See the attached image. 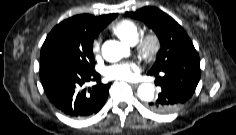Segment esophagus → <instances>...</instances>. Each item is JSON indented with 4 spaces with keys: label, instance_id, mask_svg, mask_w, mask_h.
<instances>
[{
    "label": "esophagus",
    "instance_id": "1",
    "mask_svg": "<svg viewBox=\"0 0 236 135\" xmlns=\"http://www.w3.org/2000/svg\"><path fill=\"white\" fill-rule=\"evenodd\" d=\"M129 84L133 87H137L139 85V83H136V82H129Z\"/></svg>",
    "mask_w": 236,
    "mask_h": 135
}]
</instances>
